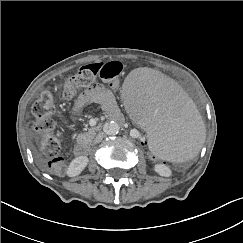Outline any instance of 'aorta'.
<instances>
[{
  "label": "aorta",
  "mask_w": 243,
  "mask_h": 243,
  "mask_svg": "<svg viewBox=\"0 0 243 243\" xmlns=\"http://www.w3.org/2000/svg\"><path fill=\"white\" fill-rule=\"evenodd\" d=\"M119 130V124L114 121L107 122L103 126V131L106 135H116L119 132Z\"/></svg>",
  "instance_id": "762f6f07"
}]
</instances>
